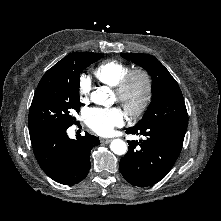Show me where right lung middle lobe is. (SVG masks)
Returning a JSON list of instances; mask_svg holds the SVG:
<instances>
[{
  "label": "right lung middle lobe",
  "instance_id": "1",
  "mask_svg": "<svg viewBox=\"0 0 221 221\" xmlns=\"http://www.w3.org/2000/svg\"><path fill=\"white\" fill-rule=\"evenodd\" d=\"M103 57L92 52L66 56L50 68L40 80L29 110L30 131L77 123L74 112L80 110L81 72Z\"/></svg>",
  "mask_w": 221,
  "mask_h": 221
}]
</instances>
